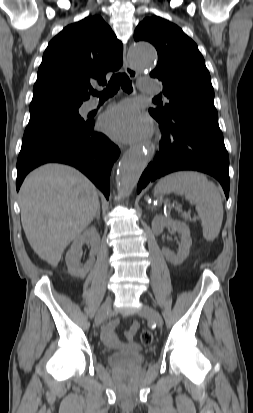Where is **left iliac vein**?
Here are the masks:
<instances>
[{
    "instance_id": "4c4485c4",
    "label": "left iliac vein",
    "mask_w": 253,
    "mask_h": 413,
    "mask_svg": "<svg viewBox=\"0 0 253 413\" xmlns=\"http://www.w3.org/2000/svg\"><path fill=\"white\" fill-rule=\"evenodd\" d=\"M138 315L153 320L158 327L163 326V318L161 314L157 310L148 305L142 306L138 312Z\"/></svg>"
}]
</instances>
